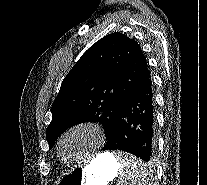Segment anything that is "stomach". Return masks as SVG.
<instances>
[{
  "label": "stomach",
  "mask_w": 207,
  "mask_h": 185,
  "mask_svg": "<svg viewBox=\"0 0 207 185\" xmlns=\"http://www.w3.org/2000/svg\"><path fill=\"white\" fill-rule=\"evenodd\" d=\"M121 165L109 153L99 154L89 163L76 167L58 181V185H107L119 174Z\"/></svg>",
  "instance_id": "0dacf381"
}]
</instances>
